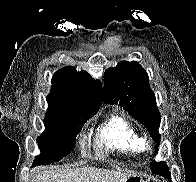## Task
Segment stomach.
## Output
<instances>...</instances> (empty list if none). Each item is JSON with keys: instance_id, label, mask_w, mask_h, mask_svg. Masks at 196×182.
I'll list each match as a JSON object with an SVG mask.
<instances>
[{"instance_id": "stomach-1", "label": "stomach", "mask_w": 196, "mask_h": 182, "mask_svg": "<svg viewBox=\"0 0 196 182\" xmlns=\"http://www.w3.org/2000/svg\"><path fill=\"white\" fill-rule=\"evenodd\" d=\"M125 182H150V181L144 179V177L140 174H135L127 178Z\"/></svg>"}]
</instances>
